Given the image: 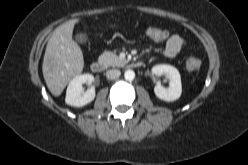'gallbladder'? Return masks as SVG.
<instances>
[{"label": "gallbladder", "instance_id": "gallbladder-1", "mask_svg": "<svg viewBox=\"0 0 248 165\" xmlns=\"http://www.w3.org/2000/svg\"><path fill=\"white\" fill-rule=\"evenodd\" d=\"M75 39L79 43H85L87 41V36L83 33H80L76 35Z\"/></svg>", "mask_w": 248, "mask_h": 165}]
</instances>
